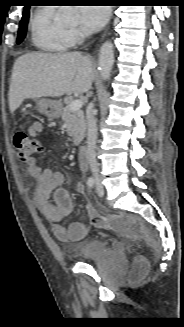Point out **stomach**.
Listing matches in <instances>:
<instances>
[{"label":"stomach","mask_w":184,"mask_h":327,"mask_svg":"<svg viewBox=\"0 0 184 327\" xmlns=\"http://www.w3.org/2000/svg\"><path fill=\"white\" fill-rule=\"evenodd\" d=\"M37 105L39 111L49 118H57L61 113V104L59 101L40 99L38 100Z\"/></svg>","instance_id":"stomach-1"}]
</instances>
